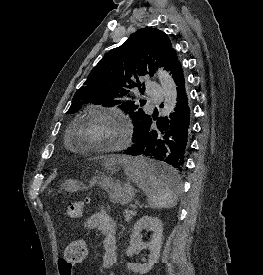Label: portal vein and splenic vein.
<instances>
[{
    "label": "portal vein and splenic vein",
    "instance_id": "portal-vein-and-splenic-vein-1",
    "mask_svg": "<svg viewBox=\"0 0 263 275\" xmlns=\"http://www.w3.org/2000/svg\"><path fill=\"white\" fill-rule=\"evenodd\" d=\"M132 207H133L134 209H135V208H137V206H136V205H133Z\"/></svg>",
    "mask_w": 263,
    "mask_h": 275
}]
</instances>
